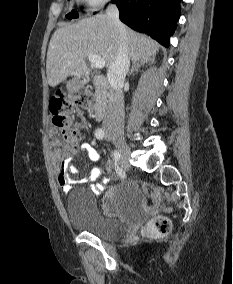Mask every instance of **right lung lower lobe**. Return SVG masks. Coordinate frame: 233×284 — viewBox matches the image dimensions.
<instances>
[{"instance_id":"obj_1","label":"right lung lower lobe","mask_w":233,"mask_h":284,"mask_svg":"<svg viewBox=\"0 0 233 284\" xmlns=\"http://www.w3.org/2000/svg\"><path fill=\"white\" fill-rule=\"evenodd\" d=\"M120 20L134 30L145 32L165 47L180 16V0H112Z\"/></svg>"}]
</instances>
